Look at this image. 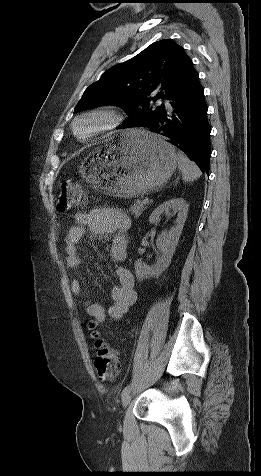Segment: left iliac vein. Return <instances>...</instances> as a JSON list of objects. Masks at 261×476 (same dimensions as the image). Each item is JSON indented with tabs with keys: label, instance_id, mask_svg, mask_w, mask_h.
<instances>
[{
	"label": "left iliac vein",
	"instance_id": "4c4485c4",
	"mask_svg": "<svg viewBox=\"0 0 261 476\" xmlns=\"http://www.w3.org/2000/svg\"><path fill=\"white\" fill-rule=\"evenodd\" d=\"M132 399L131 389L122 395V405L127 407Z\"/></svg>",
	"mask_w": 261,
	"mask_h": 476
}]
</instances>
